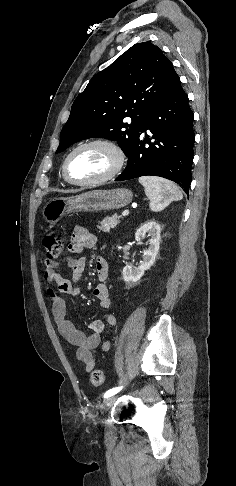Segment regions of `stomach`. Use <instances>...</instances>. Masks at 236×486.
Here are the masks:
<instances>
[{"instance_id":"0dacf381","label":"stomach","mask_w":236,"mask_h":486,"mask_svg":"<svg viewBox=\"0 0 236 486\" xmlns=\"http://www.w3.org/2000/svg\"><path fill=\"white\" fill-rule=\"evenodd\" d=\"M132 199V192L125 188L91 190L69 198L50 199L42 209V217L46 223L54 225L67 214L120 209Z\"/></svg>"}]
</instances>
